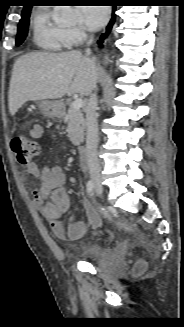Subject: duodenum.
<instances>
[{"label": "duodenum", "mask_w": 184, "mask_h": 327, "mask_svg": "<svg viewBox=\"0 0 184 327\" xmlns=\"http://www.w3.org/2000/svg\"><path fill=\"white\" fill-rule=\"evenodd\" d=\"M62 107L58 106V111L62 112ZM79 159H80V164L82 167H87L88 165V151L87 148L84 146L79 147Z\"/></svg>", "instance_id": "duodenum-1"}]
</instances>
